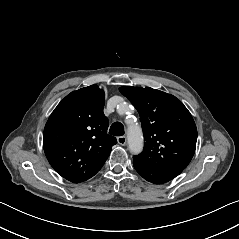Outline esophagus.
<instances>
[{
    "label": "esophagus",
    "instance_id": "34e87169",
    "mask_svg": "<svg viewBox=\"0 0 239 239\" xmlns=\"http://www.w3.org/2000/svg\"><path fill=\"white\" fill-rule=\"evenodd\" d=\"M117 142H118L120 145L124 146V145H126L127 139H126L125 136H121V137H118V138H117Z\"/></svg>",
    "mask_w": 239,
    "mask_h": 239
}]
</instances>
